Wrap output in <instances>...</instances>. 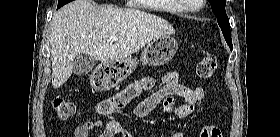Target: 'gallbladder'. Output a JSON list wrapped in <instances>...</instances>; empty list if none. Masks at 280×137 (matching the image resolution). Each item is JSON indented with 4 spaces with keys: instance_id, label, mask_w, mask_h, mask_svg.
I'll list each match as a JSON object with an SVG mask.
<instances>
[{
    "instance_id": "bac80fb5",
    "label": "gallbladder",
    "mask_w": 280,
    "mask_h": 137,
    "mask_svg": "<svg viewBox=\"0 0 280 137\" xmlns=\"http://www.w3.org/2000/svg\"><path fill=\"white\" fill-rule=\"evenodd\" d=\"M95 65V59L87 53H82L74 57L72 62L73 73L77 76L89 74Z\"/></svg>"
}]
</instances>
